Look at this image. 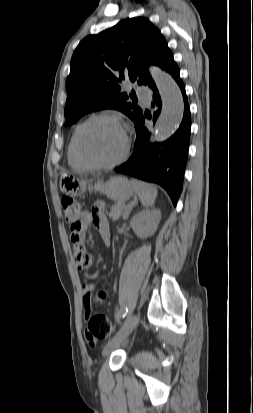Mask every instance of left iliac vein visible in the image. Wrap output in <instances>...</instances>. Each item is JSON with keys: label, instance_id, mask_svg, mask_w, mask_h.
Instances as JSON below:
<instances>
[{"label": "left iliac vein", "instance_id": "left-iliac-vein-1", "mask_svg": "<svg viewBox=\"0 0 253 413\" xmlns=\"http://www.w3.org/2000/svg\"><path fill=\"white\" fill-rule=\"evenodd\" d=\"M139 320L140 317L137 314L129 317L116 333V335L105 345L102 352L103 356L110 355L113 350L118 348L138 325Z\"/></svg>", "mask_w": 253, "mask_h": 413}]
</instances>
